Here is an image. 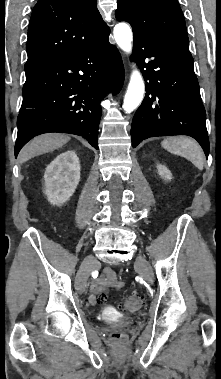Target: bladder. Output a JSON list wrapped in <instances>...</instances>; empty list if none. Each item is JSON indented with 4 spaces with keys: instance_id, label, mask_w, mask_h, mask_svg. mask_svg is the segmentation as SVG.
I'll list each match as a JSON object with an SVG mask.
<instances>
[{
    "instance_id": "obj_1",
    "label": "bladder",
    "mask_w": 221,
    "mask_h": 379,
    "mask_svg": "<svg viewBox=\"0 0 221 379\" xmlns=\"http://www.w3.org/2000/svg\"><path fill=\"white\" fill-rule=\"evenodd\" d=\"M102 320H105V321H109V320H111V317L109 316V315H107V314H101L100 316H99Z\"/></svg>"
}]
</instances>
